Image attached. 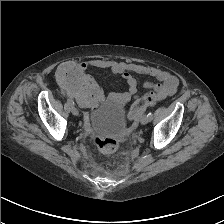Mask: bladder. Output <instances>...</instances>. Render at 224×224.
Listing matches in <instances>:
<instances>
[{"label":"bladder","mask_w":224,"mask_h":224,"mask_svg":"<svg viewBox=\"0 0 224 224\" xmlns=\"http://www.w3.org/2000/svg\"><path fill=\"white\" fill-rule=\"evenodd\" d=\"M124 115V106L114 100H106L91 112L89 121L96 133L119 136L125 130Z\"/></svg>","instance_id":"obj_1"}]
</instances>
